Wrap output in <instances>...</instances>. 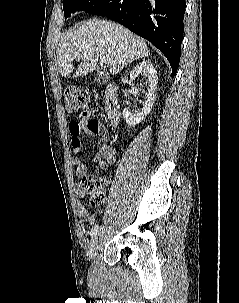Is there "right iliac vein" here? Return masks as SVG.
Instances as JSON below:
<instances>
[{
	"mask_svg": "<svg viewBox=\"0 0 239 303\" xmlns=\"http://www.w3.org/2000/svg\"><path fill=\"white\" fill-rule=\"evenodd\" d=\"M99 245H100V240L99 237L96 235L94 236L88 247L87 257L89 260H91L96 255Z\"/></svg>",
	"mask_w": 239,
	"mask_h": 303,
	"instance_id": "obj_1",
	"label": "right iliac vein"
}]
</instances>
